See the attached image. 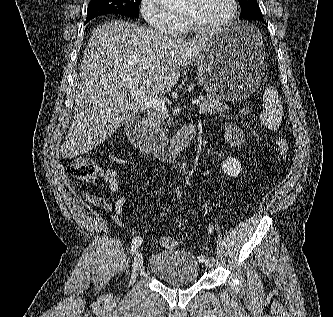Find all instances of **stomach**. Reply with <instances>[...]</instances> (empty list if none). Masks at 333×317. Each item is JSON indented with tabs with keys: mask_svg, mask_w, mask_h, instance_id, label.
Masks as SVG:
<instances>
[{
	"mask_svg": "<svg viewBox=\"0 0 333 317\" xmlns=\"http://www.w3.org/2000/svg\"><path fill=\"white\" fill-rule=\"evenodd\" d=\"M265 47L257 28L234 23L208 37L197 59L200 84L213 97L237 102L262 95Z\"/></svg>",
	"mask_w": 333,
	"mask_h": 317,
	"instance_id": "1",
	"label": "stomach"
}]
</instances>
